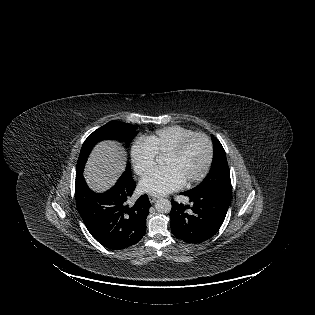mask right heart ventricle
Returning a JSON list of instances; mask_svg holds the SVG:
<instances>
[{"instance_id":"e07e8e85","label":"right heart ventricle","mask_w":315,"mask_h":315,"mask_svg":"<svg viewBox=\"0 0 315 315\" xmlns=\"http://www.w3.org/2000/svg\"><path fill=\"white\" fill-rule=\"evenodd\" d=\"M195 132L189 128L180 125H171L156 130L153 134L147 136L145 139L158 155L165 154L179 141Z\"/></svg>"}]
</instances>
